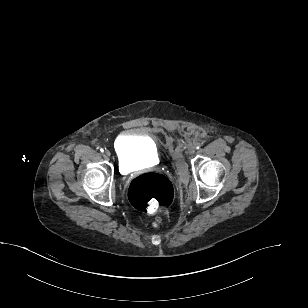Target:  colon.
<instances>
[{
    "instance_id": "obj_1",
    "label": "colon",
    "mask_w": 308,
    "mask_h": 308,
    "mask_svg": "<svg viewBox=\"0 0 308 308\" xmlns=\"http://www.w3.org/2000/svg\"><path fill=\"white\" fill-rule=\"evenodd\" d=\"M131 204L158 221L167 217L174 201V187L165 175L149 172L135 177L128 189Z\"/></svg>"
}]
</instances>
